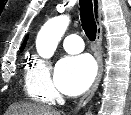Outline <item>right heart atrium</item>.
<instances>
[{
    "label": "right heart atrium",
    "instance_id": "d8ad5b80",
    "mask_svg": "<svg viewBox=\"0 0 131 115\" xmlns=\"http://www.w3.org/2000/svg\"><path fill=\"white\" fill-rule=\"evenodd\" d=\"M25 90L31 98L47 104H52L59 97L46 60L39 57L30 60L25 73Z\"/></svg>",
    "mask_w": 131,
    "mask_h": 115
}]
</instances>
